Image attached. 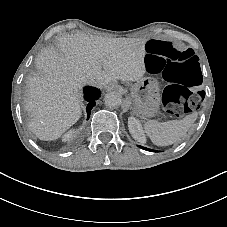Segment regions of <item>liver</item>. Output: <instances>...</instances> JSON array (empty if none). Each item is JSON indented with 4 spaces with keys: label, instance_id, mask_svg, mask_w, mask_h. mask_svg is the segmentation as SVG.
Wrapping results in <instances>:
<instances>
[{
    "label": "liver",
    "instance_id": "1",
    "mask_svg": "<svg viewBox=\"0 0 227 227\" xmlns=\"http://www.w3.org/2000/svg\"><path fill=\"white\" fill-rule=\"evenodd\" d=\"M147 39L73 34L59 38L58 49L36 59L39 72L26 80L24 108L40 140L58 139L81 116L79 90L89 84L113 88L117 80L139 81L146 73Z\"/></svg>",
    "mask_w": 227,
    "mask_h": 227
}]
</instances>
